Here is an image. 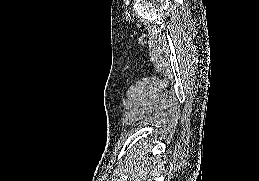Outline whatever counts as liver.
<instances>
[{"mask_svg": "<svg viewBox=\"0 0 259 181\" xmlns=\"http://www.w3.org/2000/svg\"><path fill=\"white\" fill-rule=\"evenodd\" d=\"M129 166L132 168V181H150V174L146 168V160H144L143 151L135 149V155L130 157Z\"/></svg>", "mask_w": 259, "mask_h": 181, "instance_id": "6515ba94", "label": "liver"}]
</instances>
